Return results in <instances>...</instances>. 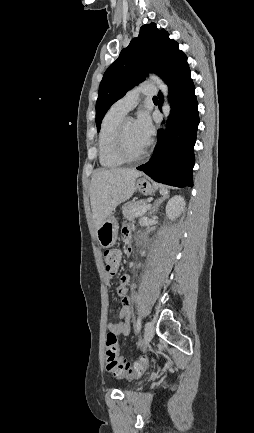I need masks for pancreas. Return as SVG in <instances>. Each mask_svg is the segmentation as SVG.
<instances>
[{
	"label": "pancreas",
	"mask_w": 254,
	"mask_h": 433,
	"mask_svg": "<svg viewBox=\"0 0 254 433\" xmlns=\"http://www.w3.org/2000/svg\"><path fill=\"white\" fill-rule=\"evenodd\" d=\"M146 201L145 200H139V201H133L128 203L127 205H125L122 208V213L124 218L126 219H134L135 218V213L140 210L143 206H146Z\"/></svg>",
	"instance_id": "obj_1"
}]
</instances>
